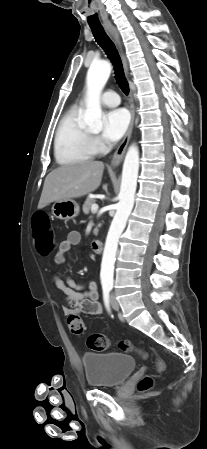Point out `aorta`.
Listing matches in <instances>:
<instances>
[{"instance_id":"obj_1","label":"aorta","mask_w":207,"mask_h":449,"mask_svg":"<svg viewBox=\"0 0 207 449\" xmlns=\"http://www.w3.org/2000/svg\"><path fill=\"white\" fill-rule=\"evenodd\" d=\"M111 65L107 61L92 63L87 72V102L84 124L93 129L102 128L101 92L110 76ZM139 170V150L131 145L125 156L119 202L111 223L102 256L100 279L103 286L113 284L114 263L120 235L134 206Z\"/></svg>"}]
</instances>
